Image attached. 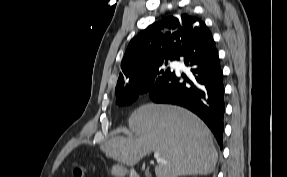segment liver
<instances>
[{
  "instance_id": "1",
  "label": "liver",
  "mask_w": 287,
  "mask_h": 177,
  "mask_svg": "<svg viewBox=\"0 0 287 177\" xmlns=\"http://www.w3.org/2000/svg\"><path fill=\"white\" fill-rule=\"evenodd\" d=\"M134 137L114 136L101 146L107 157L134 166L151 152H159L156 177L207 175L213 172L218 154L213 135L190 111L172 105L145 104L130 116Z\"/></svg>"
}]
</instances>
